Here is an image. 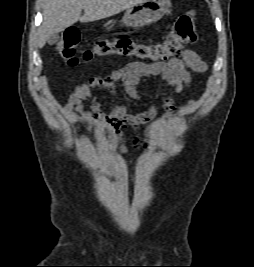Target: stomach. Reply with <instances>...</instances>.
<instances>
[{"instance_id": "0dacf381", "label": "stomach", "mask_w": 254, "mask_h": 267, "mask_svg": "<svg viewBox=\"0 0 254 267\" xmlns=\"http://www.w3.org/2000/svg\"><path fill=\"white\" fill-rule=\"evenodd\" d=\"M170 7V0H144L128 8L121 22L126 27H145L160 20Z\"/></svg>"}]
</instances>
